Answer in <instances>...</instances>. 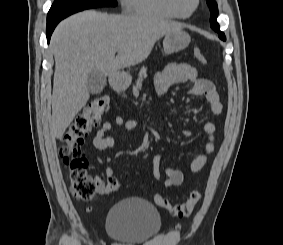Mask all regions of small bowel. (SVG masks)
I'll list each match as a JSON object with an SVG mask.
<instances>
[{
  "mask_svg": "<svg viewBox=\"0 0 283 245\" xmlns=\"http://www.w3.org/2000/svg\"><path fill=\"white\" fill-rule=\"evenodd\" d=\"M186 82L192 84L190 94L203 97L207 101L209 110L213 115H219L222 112V104L213 83L209 79L199 77L197 69L190 64L170 63L166 65L157 73L154 83L157 95L163 97L172 85ZM140 126H142L140 120H124L120 116H115L112 119L105 121L98 129L92 144L97 150L109 149L115 145V138L108 135L114 127H124L125 130L132 131ZM203 129L207 136V141L204 145L203 153L194 157L190 162V173L199 172L206 165L216 148L215 125L212 122H206ZM184 134L186 136L191 135L189 131H185ZM152 163L153 177L158 181H162L166 187H176L183 183L184 173L180 170L169 167L166 168L165 174H162L160 170V156H153ZM105 176L107 179L114 177V169L112 167H107L105 169ZM95 181L97 192L104 195L106 183L99 177H96Z\"/></svg>",
  "mask_w": 283,
  "mask_h": 245,
  "instance_id": "obj_1",
  "label": "small bowel"
}]
</instances>
